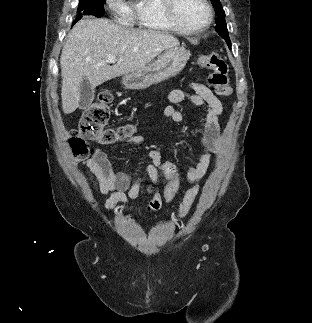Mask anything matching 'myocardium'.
Listing matches in <instances>:
<instances>
[{
  "mask_svg": "<svg viewBox=\"0 0 312 323\" xmlns=\"http://www.w3.org/2000/svg\"><path fill=\"white\" fill-rule=\"evenodd\" d=\"M175 0H163L161 3V13L165 17L167 25H174L177 31H206V27L211 25L215 10H211L212 5L207 0H196V4L203 20H179L177 13L173 12L177 8Z\"/></svg>",
  "mask_w": 312,
  "mask_h": 323,
  "instance_id": "obj_1",
  "label": "myocardium"
}]
</instances>
